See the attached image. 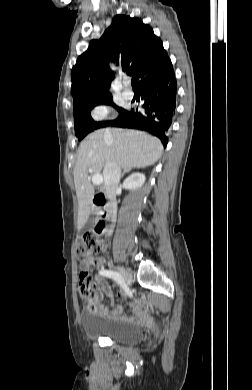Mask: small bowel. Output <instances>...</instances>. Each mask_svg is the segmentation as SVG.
Returning <instances> with one entry per match:
<instances>
[{
	"mask_svg": "<svg viewBox=\"0 0 252 390\" xmlns=\"http://www.w3.org/2000/svg\"><path fill=\"white\" fill-rule=\"evenodd\" d=\"M91 266H97L100 267L102 266V259L101 258H91L85 262H82L80 267L82 270H88ZM94 285L97 290H102L107 297L110 299H113L114 294L112 291L111 286L107 283L105 280L104 276L99 273L94 279ZM99 296H100V292ZM119 297L125 298L127 296L125 290H120L119 291ZM112 303L109 305H99V309L101 314L109 319L116 320V321H134V322H146L148 321V313L147 310L145 309L144 306L140 304H136L133 302H128L127 306L129 309L132 311V314H124L123 313V306L119 305L115 310L111 311Z\"/></svg>",
	"mask_w": 252,
	"mask_h": 390,
	"instance_id": "obj_1",
	"label": "small bowel"
}]
</instances>
